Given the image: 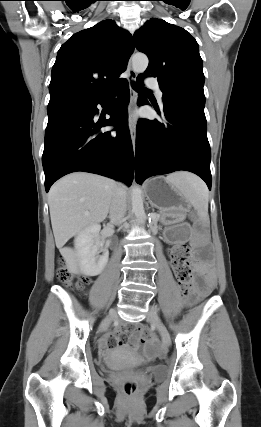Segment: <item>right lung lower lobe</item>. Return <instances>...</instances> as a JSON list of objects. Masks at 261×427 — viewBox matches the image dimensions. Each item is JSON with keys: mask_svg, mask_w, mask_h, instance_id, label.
I'll return each mask as SVG.
<instances>
[{"mask_svg": "<svg viewBox=\"0 0 261 427\" xmlns=\"http://www.w3.org/2000/svg\"><path fill=\"white\" fill-rule=\"evenodd\" d=\"M129 97L128 82L124 80L109 112L111 118L104 121L95 122L93 117L97 104L104 105L108 96L92 105L48 115L42 156L46 192L60 177L75 171L96 173L131 185L134 154L127 127ZM109 125L117 127L115 134L100 131Z\"/></svg>", "mask_w": 261, "mask_h": 427, "instance_id": "98d812e1", "label": "right lung lower lobe"}]
</instances>
